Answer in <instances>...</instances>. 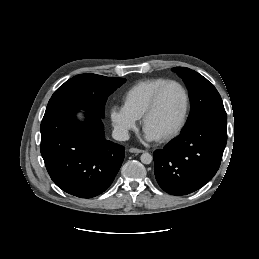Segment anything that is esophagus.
Returning a JSON list of instances; mask_svg holds the SVG:
<instances>
[{
  "instance_id": "esophagus-1",
  "label": "esophagus",
  "mask_w": 259,
  "mask_h": 259,
  "mask_svg": "<svg viewBox=\"0 0 259 259\" xmlns=\"http://www.w3.org/2000/svg\"><path fill=\"white\" fill-rule=\"evenodd\" d=\"M129 152H131V153H143V152H145V151L142 150V149H138V148L131 147V148L129 149Z\"/></svg>"
}]
</instances>
